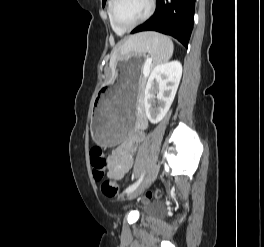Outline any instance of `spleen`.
I'll use <instances>...</instances> for the list:
<instances>
[{
	"label": "spleen",
	"instance_id": "3e777b00",
	"mask_svg": "<svg viewBox=\"0 0 264 247\" xmlns=\"http://www.w3.org/2000/svg\"><path fill=\"white\" fill-rule=\"evenodd\" d=\"M173 49V43L169 37L156 32H147L128 44L122 50V54L149 53L156 65L168 61L172 57Z\"/></svg>",
	"mask_w": 264,
	"mask_h": 247
}]
</instances>
